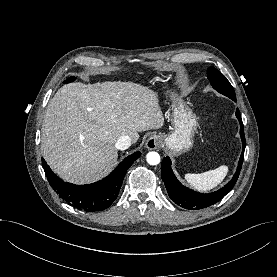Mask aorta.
<instances>
[{
	"mask_svg": "<svg viewBox=\"0 0 277 277\" xmlns=\"http://www.w3.org/2000/svg\"><path fill=\"white\" fill-rule=\"evenodd\" d=\"M146 160L150 165H157L160 163V155L157 152H149L146 156Z\"/></svg>",
	"mask_w": 277,
	"mask_h": 277,
	"instance_id": "762f6f07",
	"label": "aorta"
}]
</instances>
